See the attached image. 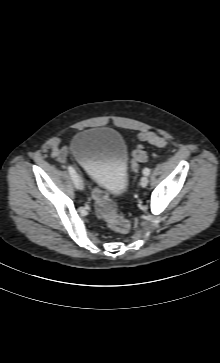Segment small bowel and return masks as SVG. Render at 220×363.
<instances>
[{
    "instance_id": "1",
    "label": "small bowel",
    "mask_w": 220,
    "mask_h": 363,
    "mask_svg": "<svg viewBox=\"0 0 220 363\" xmlns=\"http://www.w3.org/2000/svg\"><path fill=\"white\" fill-rule=\"evenodd\" d=\"M67 148L59 147L58 143H55L53 148V157H55L59 162L64 163L67 158Z\"/></svg>"
}]
</instances>
